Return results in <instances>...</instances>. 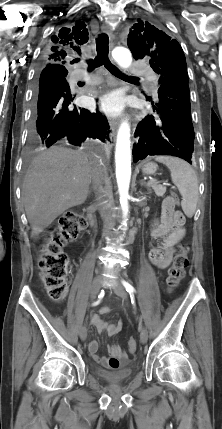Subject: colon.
<instances>
[{"label":"colon","instance_id":"5ec220e1","mask_svg":"<svg viewBox=\"0 0 222 429\" xmlns=\"http://www.w3.org/2000/svg\"><path fill=\"white\" fill-rule=\"evenodd\" d=\"M171 203L178 204L179 196L173 194L167 198ZM85 217L76 211H68L60 218L49 240L42 246L38 260L43 289L53 301H61L66 297L68 257L63 251L64 246L75 240L85 227ZM189 260L183 246H179L173 263L168 270L167 286L171 291L178 286L185 276ZM127 346L130 352L136 350V340L129 338Z\"/></svg>","mask_w":222,"mask_h":429}]
</instances>
